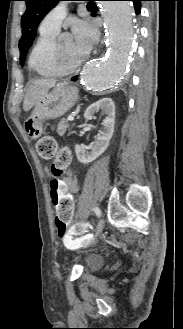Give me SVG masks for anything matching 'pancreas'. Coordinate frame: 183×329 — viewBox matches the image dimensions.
Wrapping results in <instances>:
<instances>
[{
	"instance_id": "obj_1",
	"label": "pancreas",
	"mask_w": 183,
	"mask_h": 329,
	"mask_svg": "<svg viewBox=\"0 0 183 329\" xmlns=\"http://www.w3.org/2000/svg\"><path fill=\"white\" fill-rule=\"evenodd\" d=\"M68 126H69L68 121L65 120V119H62L59 122L58 127H57L58 134L61 135V136L64 135V133H65L66 129L68 128Z\"/></svg>"
}]
</instances>
